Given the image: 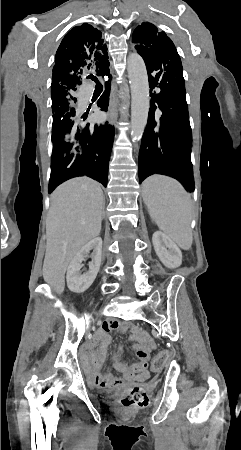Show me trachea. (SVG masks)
Returning a JSON list of instances; mask_svg holds the SVG:
<instances>
[{
  "mask_svg": "<svg viewBox=\"0 0 241 450\" xmlns=\"http://www.w3.org/2000/svg\"><path fill=\"white\" fill-rule=\"evenodd\" d=\"M87 78H91V80H94V82L96 83V85H101V83L99 82L97 77H94L93 75H89V77Z\"/></svg>",
  "mask_w": 241,
  "mask_h": 450,
  "instance_id": "1",
  "label": "trachea"
}]
</instances>
